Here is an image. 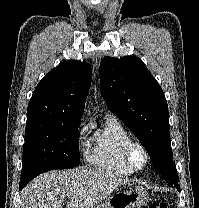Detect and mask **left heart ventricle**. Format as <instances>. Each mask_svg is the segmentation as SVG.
I'll use <instances>...</instances> for the list:
<instances>
[{
  "label": "left heart ventricle",
  "mask_w": 199,
  "mask_h": 208,
  "mask_svg": "<svg viewBox=\"0 0 199 208\" xmlns=\"http://www.w3.org/2000/svg\"><path fill=\"white\" fill-rule=\"evenodd\" d=\"M130 155L135 165L142 166L144 164L145 156L142 149L139 146L137 145L133 146L131 148Z\"/></svg>",
  "instance_id": "1"
}]
</instances>
